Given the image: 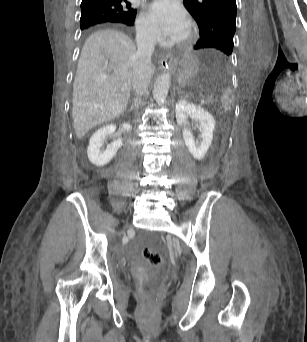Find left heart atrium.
<instances>
[{
  "label": "left heart atrium",
  "instance_id": "left-heart-atrium-1",
  "mask_svg": "<svg viewBox=\"0 0 307 342\" xmlns=\"http://www.w3.org/2000/svg\"><path fill=\"white\" fill-rule=\"evenodd\" d=\"M146 18L152 28V41L159 43H179L184 41L190 30L189 21L179 7L169 1L152 4Z\"/></svg>",
  "mask_w": 307,
  "mask_h": 342
}]
</instances>
